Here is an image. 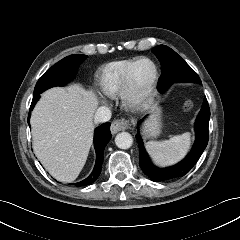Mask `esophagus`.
<instances>
[{
    "mask_svg": "<svg viewBox=\"0 0 240 240\" xmlns=\"http://www.w3.org/2000/svg\"><path fill=\"white\" fill-rule=\"evenodd\" d=\"M128 121L125 119L114 120L111 124V132L116 134L120 131H123L127 128Z\"/></svg>",
    "mask_w": 240,
    "mask_h": 240,
    "instance_id": "esophagus-1",
    "label": "esophagus"
}]
</instances>
